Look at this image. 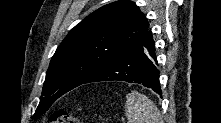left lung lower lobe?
Returning <instances> with one entry per match:
<instances>
[{
    "instance_id": "obj_1",
    "label": "left lung lower lobe",
    "mask_w": 221,
    "mask_h": 123,
    "mask_svg": "<svg viewBox=\"0 0 221 123\" xmlns=\"http://www.w3.org/2000/svg\"><path fill=\"white\" fill-rule=\"evenodd\" d=\"M155 45L150 31L135 44L107 62L83 84L99 81L120 80L138 83L161 95Z\"/></svg>"
}]
</instances>
